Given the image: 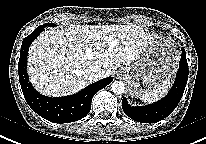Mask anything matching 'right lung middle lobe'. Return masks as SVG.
Instances as JSON below:
<instances>
[{
	"label": "right lung middle lobe",
	"instance_id": "1",
	"mask_svg": "<svg viewBox=\"0 0 206 144\" xmlns=\"http://www.w3.org/2000/svg\"><path fill=\"white\" fill-rule=\"evenodd\" d=\"M44 26L46 27V26H54V24L53 23H46V24H44Z\"/></svg>",
	"mask_w": 206,
	"mask_h": 144
}]
</instances>
